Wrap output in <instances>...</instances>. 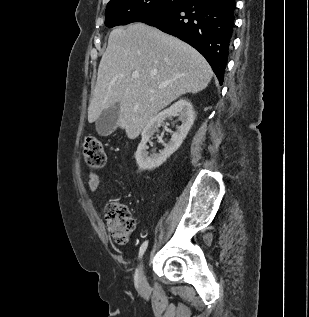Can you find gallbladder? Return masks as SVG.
<instances>
[{"label":"gallbladder","instance_id":"obj_1","mask_svg":"<svg viewBox=\"0 0 309 317\" xmlns=\"http://www.w3.org/2000/svg\"><path fill=\"white\" fill-rule=\"evenodd\" d=\"M119 105L114 104L105 109L95 122L96 131L101 136H108L114 132L118 125Z\"/></svg>","mask_w":309,"mask_h":317}]
</instances>
